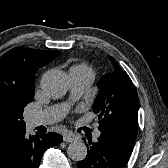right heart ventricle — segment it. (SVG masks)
Here are the masks:
<instances>
[{
    "label": "right heart ventricle",
    "mask_w": 168,
    "mask_h": 168,
    "mask_svg": "<svg viewBox=\"0 0 168 168\" xmlns=\"http://www.w3.org/2000/svg\"><path fill=\"white\" fill-rule=\"evenodd\" d=\"M81 72H88V73L94 74L93 69L89 65L83 62L75 63L69 69V74L81 73Z\"/></svg>",
    "instance_id": "right-heart-ventricle-1"
}]
</instances>
